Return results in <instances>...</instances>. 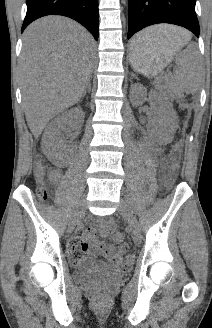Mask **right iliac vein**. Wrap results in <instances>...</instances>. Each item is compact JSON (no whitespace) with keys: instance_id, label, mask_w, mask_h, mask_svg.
Instances as JSON below:
<instances>
[{"instance_id":"right-iliac-vein-1","label":"right iliac vein","mask_w":212,"mask_h":328,"mask_svg":"<svg viewBox=\"0 0 212 328\" xmlns=\"http://www.w3.org/2000/svg\"><path fill=\"white\" fill-rule=\"evenodd\" d=\"M84 211H85V200L80 202V204L70 222V225H69L70 231H72L75 228L76 224L78 223L79 219L83 215Z\"/></svg>"}]
</instances>
